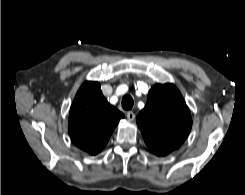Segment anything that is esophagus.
Instances as JSON below:
<instances>
[{
    "label": "esophagus",
    "mask_w": 245,
    "mask_h": 195,
    "mask_svg": "<svg viewBox=\"0 0 245 195\" xmlns=\"http://www.w3.org/2000/svg\"><path fill=\"white\" fill-rule=\"evenodd\" d=\"M126 117L128 120L132 121L135 119V114L132 111L127 112Z\"/></svg>",
    "instance_id": "34e87169"
}]
</instances>
